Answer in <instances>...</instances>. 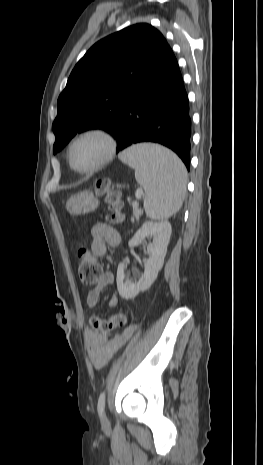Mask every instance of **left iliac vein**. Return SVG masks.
I'll return each instance as SVG.
<instances>
[{
  "label": "left iliac vein",
  "instance_id": "obj_1",
  "mask_svg": "<svg viewBox=\"0 0 263 465\" xmlns=\"http://www.w3.org/2000/svg\"><path fill=\"white\" fill-rule=\"evenodd\" d=\"M102 421H103V422H106V421H107L106 415H104V414H103V416H102Z\"/></svg>",
  "mask_w": 263,
  "mask_h": 465
}]
</instances>
